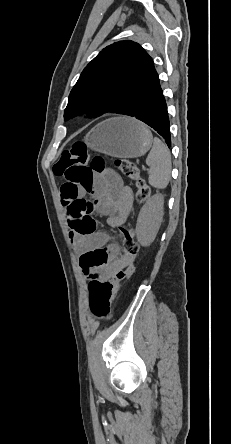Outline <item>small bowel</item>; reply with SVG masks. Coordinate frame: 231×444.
Wrapping results in <instances>:
<instances>
[{
    "instance_id": "1",
    "label": "small bowel",
    "mask_w": 231,
    "mask_h": 444,
    "mask_svg": "<svg viewBox=\"0 0 231 444\" xmlns=\"http://www.w3.org/2000/svg\"><path fill=\"white\" fill-rule=\"evenodd\" d=\"M61 201L65 208L70 228V237L80 253V266L91 280L105 279L114 275L125 266L126 259L120 256L115 245L104 246L107 237L104 234L82 236L74 230V218L70 206L81 200L84 194L92 195L98 214L107 217L113 228L121 226L128 218L133 206V193L121 177L111 169L94 178L89 188H73L64 184L61 187Z\"/></svg>"
}]
</instances>
